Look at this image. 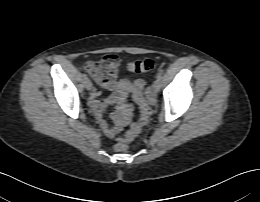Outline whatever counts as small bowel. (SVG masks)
Here are the masks:
<instances>
[{
  "mask_svg": "<svg viewBox=\"0 0 260 202\" xmlns=\"http://www.w3.org/2000/svg\"><path fill=\"white\" fill-rule=\"evenodd\" d=\"M100 85L103 89L110 91V95L100 100V92L94 90L89 106L104 134L113 139L131 122L135 108L132 104L127 103L119 93L117 83L114 80ZM112 104H116V109L111 114L112 123L109 124L104 115L105 109Z\"/></svg>",
  "mask_w": 260,
  "mask_h": 202,
  "instance_id": "1",
  "label": "small bowel"
}]
</instances>
